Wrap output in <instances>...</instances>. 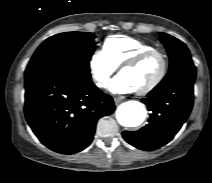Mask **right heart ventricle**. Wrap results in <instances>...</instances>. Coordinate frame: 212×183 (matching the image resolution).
Segmentation results:
<instances>
[{
  "label": "right heart ventricle",
  "instance_id": "e07e8e85",
  "mask_svg": "<svg viewBox=\"0 0 212 183\" xmlns=\"http://www.w3.org/2000/svg\"><path fill=\"white\" fill-rule=\"evenodd\" d=\"M150 49H155L154 45L122 35L108 37L103 44V51L116 67L121 66L127 60Z\"/></svg>",
  "mask_w": 212,
  "mask_h": 183
}]
</instances>
